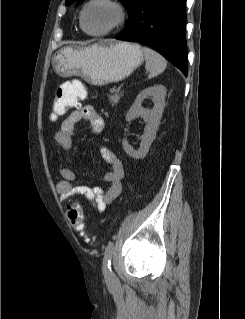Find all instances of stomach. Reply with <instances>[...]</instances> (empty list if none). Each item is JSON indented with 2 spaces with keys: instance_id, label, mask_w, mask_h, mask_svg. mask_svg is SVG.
Returning <instances> with one entry per match:
<instances>
[{
  "instance_id": "1",
  "label": "stomach",
  "mask_w": 245,
  "mask_h": 319,
  "mask_svg": "<svg viewBox=\"0 0 245 319\" xmlns=\"http://www.w3.org/2000/svg\"><path fill=\"white\" fill-rule=\"evenodd\" d=\"M144 61L140 45L105 42L87 47L67 46L52 59L61 77L78 75L93 85H105L128 77Z\"/></svg>"
}]
</instances>
